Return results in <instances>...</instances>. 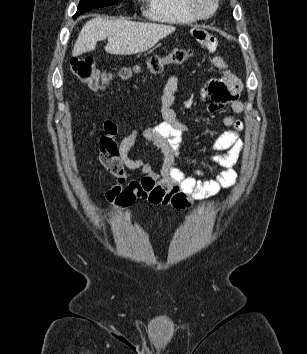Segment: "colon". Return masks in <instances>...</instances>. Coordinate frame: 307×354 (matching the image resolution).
Listing matches in <instances>:
<instances>
[{"instance_id":"1","label":"colon","mask_w":307,"mask_h":354,"mask_svg":"<svg viewBox=\"0 0 307 354\" xmlns=\"http://www.w3.org/2000/svg\"><path fill=\"white\" fill-rule=\"evenodd\" d=\"M190 51L183 48H176L166 55L152 56L147 62V69L153 73H160L166 65L180 64L188 60ZM72 73L84 84L92 89L104 88L109 80L108 74L99 69L91 57H76L70 62ZM138 68H124L120 75L126 79L131 77Z\"/></svg>"}]
</instances>
